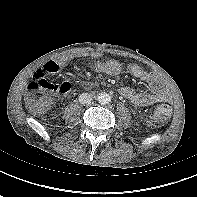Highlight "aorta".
<instances>
[{"label":"aorta","instance_id":"1","mask_svg":"<svg viewBox=\"0 0 197 197\" xmlns=\"http://www.w3.org/2000/svg\"><path fill=\"white\" fill-rule=\"evenodd\" d=\"M111 95L109 93L103 92L100 93L97 97V101L100 104H108L111 101Z\"/></svg>","mask_w":197,"mask_h":197}]
</instances>
